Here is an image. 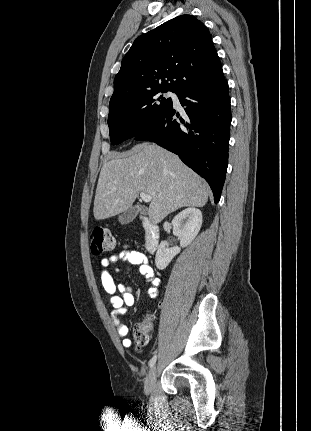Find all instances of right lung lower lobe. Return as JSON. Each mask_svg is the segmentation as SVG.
Returning a JSON list of instances; mask_svg holds the SVG:
<instances>
[{"mask_svg": "<svg viewBox=\"0 0 311 431\" xmlns=\"http://www.w3.org/2000/svg\"><path fill=\"white\" fill-rule=\"evenodd\" d=\"M184 108L183 118L171 105L136 136L157 143L209 183L214 201L220 199L228 165L231 124L228 83L222 70L182 87L176 92Z\"/></svg>", "mask_w": 311, "mask_h": 431, "instance_id": "1", "label": "right lung lower lobe"}]
</instances>
